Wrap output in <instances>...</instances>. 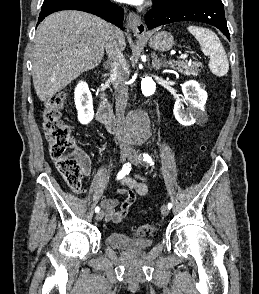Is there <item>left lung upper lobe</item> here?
<instances>
[{"mask_svg":"<svg viewBox=\"0 0 259 294\" xmlns=\"http://www.w3.org/2000/svg\"><path fill=\"white\" fill-rule=\"evenodd\" d=\"M167 1V4H172V3H177V2H181V1H184V0H165Z\"/></svg>","mask_w":259,"mask_h":294,"instance_id":"1","label":"left lung upper lobe"}]
</instances>
